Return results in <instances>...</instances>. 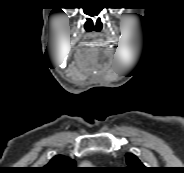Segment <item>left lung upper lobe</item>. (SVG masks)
Masks as SVG:
<instances>
[{
	"mask_svg": "<svg viewBox=\"0 0 184 173\" xmlns=\"http://www.w3.org/2000/svg\"><path fill=\"white\" fill-rule=\"evenodd\" d=\"M126 162L128 167L125 168L127 173H145L146 167L141 163V161L133 154H126Z\"/></svg>",
	"mask_w": 184,
	"mask_h": 173,
	"instance_id": "left-lung-upper-lobe-1",
	"label": "left lung upper lobe"
}]
</instances>
